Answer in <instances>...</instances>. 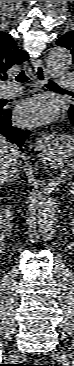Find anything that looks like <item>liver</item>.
Returning <instances> with one entry per match:
<instances>
[{
  "label": "liver",
  "instance_id": "liver-1",
  "mask_svg": "<svg viewBox=\"0 0 74 366\" xmlns=\"http://www.w3.org/2000/svg\"><path fill=\"white\" fill-rule=\"evenodd\" d=\"M22 157L19 148L0 137V183H4L9 178L18 174V159Z\"/></svg>",
  "mask_w": 74,
  "mask_h": 366
}]
</instances>
